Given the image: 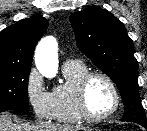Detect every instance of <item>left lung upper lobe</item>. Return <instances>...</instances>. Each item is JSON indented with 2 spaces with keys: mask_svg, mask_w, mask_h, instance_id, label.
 <instances>
[{
  "mask_svg": "<svg viewBox=\"0 0 147 131\" xmlns=\"http://www.w3.org/2000/svg\"><path fill=\"white\" fill-rule=\"evenodd\" d=\"M70 22L78 48L118 86L125 108L121 121L147 124L138 91V62L123 23L98 6L73 13Z\"/></svg>",
  "mask_w": 147,
  "mask_h": 131,
  "instance_id": "left-lung-upper-lobe-1",
  "label": "left lung upper lobe"
}]
</instances>
